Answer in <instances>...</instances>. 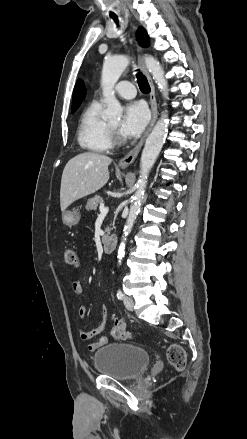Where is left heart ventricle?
Segmentation results:
<instances>
[{"label":"left heart ventricle","instance_id":"1","mask_svg":"<svg viewBox=\"0 0 247 439\" xmlns=\"http://www.w3.org/2000/svg\"><path fill=\"white\" fill-rule=\"evenodd\" d=\"M110 124H111L114 128H117L118 125H119V121H113V122H110Z\"/></svg>","mask_w":247,"mask_h":439}]
</instances>
